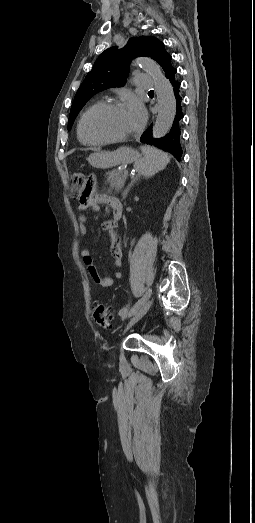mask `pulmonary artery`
Masks as SVG:
<instances>
[{"label":"pulmonary artery","instance_id":"1","mask_svg":"<svg viewBox=\"0 0 255 523\" xmlns=\"http://www.w3.org/2000/svg\"><path fill=\"white\" fill-rule=\"evenodd\" d=\"M133 80L138 82L137 89L141 92H149L153 88L154 81L147 73H139L133 77ZM123 92H127V89H123Z\"/></svg>","mask_w":255,"mask_h":523}]
</instances>
